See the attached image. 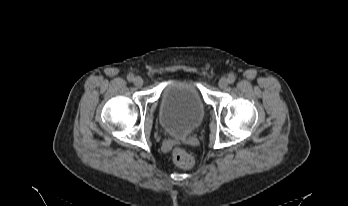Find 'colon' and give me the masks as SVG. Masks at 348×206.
<instances>
[{
  "mask_svg": "<svg viewBox=\"0 0 348 206\" xmlns=\"http://www.w3.org/2000/svg\"><path fill=\"white\" fill-rule=\"evenodd\" d=\"M173 160L182 168H190L193 165L192 157L182 148H176L173 151Z\"/></svg>",
  "mask_w": 348,
  "mask_h": 206,
  "instance_id": "colon-1",
  "label": "colon"
}]
</instances>
